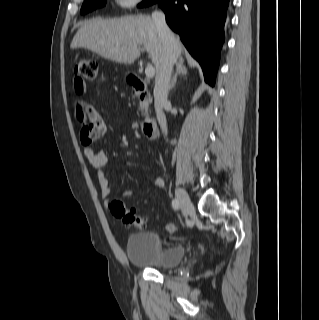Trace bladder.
<instances>
[{
  "mask_svg": "<svg viewBox=\"0 0 319 320\" xmlns=\"http://www.w3.org/2000/svg\"><path fill=\"white\" fill-rule=\"evenodd\" d=\"M126 256L135 265L155 270H167L181 263L185 249L181 244H163L154 232L130 234L126 242Z\"/></svg>",
  "mask_w": 319,
  "mask_h": 320,
  "instance_id": "31cf9c89",
  "label": "bladder"
}]
</instances>
